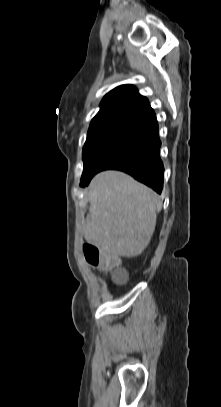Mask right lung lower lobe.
Segmentation results:
<instances>
[{"label": "right lung lower lobe", "instance_id": "98d812e1", "mask_svg": "<svg viewBox=\"0 0 221 407\" xmlns=\"http://www.w3.org/2000/svg\"><path fill=\"white\" fill-rule=\"evenodd\" d=\"M160 146L158 124L154 117L130 135L105 160L98 172L107 169L120 170L161 193L164 166L160 159ZM91 178L82 186L88 185Z\"/></svg>", "mask_w": 221, "mask_h": 407}]
</instances>
